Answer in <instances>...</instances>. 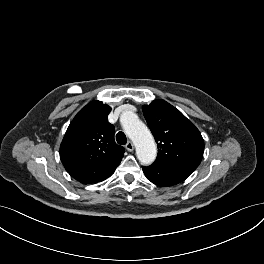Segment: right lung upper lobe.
<instances>
[{
	"instance_id": "1",
	"label": "right lung upper lobe",
	"mask_w": 264,
	"mask_h": 264,
	"mask_svg": "<svg viewBox=\"0 0 264 264\" xmlns=\"http://www.w3.org/2000/svg\"><path fill=\"white\" fill-rule=\"evenodd\" d=\"M111 107L92 101L70 123L60 146L67 172L83 184L102 181L120 163L124 148L114 142V126L107 120Z\"/></svg>"
}]
</instances>
